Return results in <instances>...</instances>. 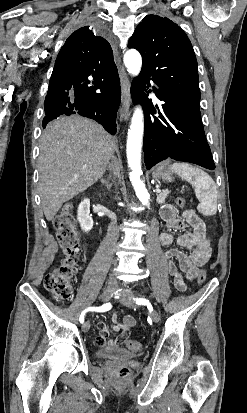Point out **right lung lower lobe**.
<instances>
[{
    "instance_id": "98d812e1",
    "label": "right lung lower lobe",
    "mask_w": 247,
    "mask_h": 413,
    "mask_svg": "<svg viewBox=\"0 0 247 413\" xmlns=\"http://www.w3.org/2000/svg\"><path fill=\"white\" fill-rule=\"evenodd\" d=\"M120 99L117 70L99 76L72 72L52 73L44 102L46 116L42 126L45 128L48 122L60 115L79 114L97 121L114 135Z\"/></svg>"
}]
</instances>
